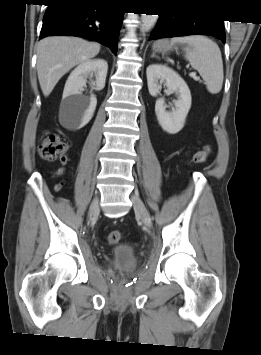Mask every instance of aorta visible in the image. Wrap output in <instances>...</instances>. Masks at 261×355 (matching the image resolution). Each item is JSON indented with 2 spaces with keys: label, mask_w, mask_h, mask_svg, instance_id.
<instances>
[{
  "label": "aorta",
  "mask_w": 261,
  "mask_h": 355,
  "mask_svg": "<svg viewBox=\"0 0 261 355\" xmlns=\"http://www.w3.org/2000/svg\"><path fill=\"white\" fill-rule=\"evenodd\" d=\"M158 19V15L142 14L141 16V32H148L152 29Z\"/></svg>",
  "instance_id": "762f6f07"
}]
</instances>
